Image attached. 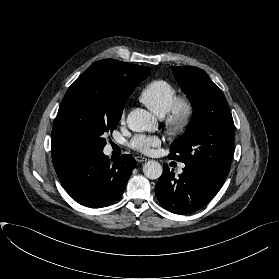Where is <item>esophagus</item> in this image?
<instances>
[{"label":"esophagus","instance_id":"1","mask_svg":"<svg viewBox=\"0 0 279 279\" xmlns=\"http://www.w3.org/2000/svg\"><path fill=\"white\" fill-rule=\"evenodd\" d=\"M135 159H136L137 162H145V161H147V158L142 157V156H136Z\"/></svg>","mask_w":279,"mask_h":279}]
</instances>
